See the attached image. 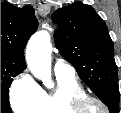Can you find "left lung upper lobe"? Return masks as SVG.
Masks as SVG:
<instances>
[{
  "label": "left lung upper lobe",
  "mask_w": 121,
  "mask_h": 113,
  "mask_svg": "<svg viewBox=\"0 0 121 113\" xmlns=\"http://www.w3.org/2000/svg\"><path fill=\"white\" fill-rule=\"evenodd\" d=\"M52 21L59 27L54 40L61 55L110 113H118V69L104 20L91 6L77 2L56 10Z\"/></svg>",
  "instance_id": "5c2ea615"
}]
</instances>
